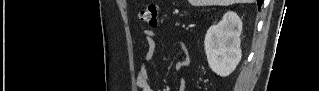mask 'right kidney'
I'll use <instances>...</instances> for the list:
<instances>
[{
	"label": "right kidney",
	"mask_w": 319,
	"mask_h": 91,
	"mask_svg": "<svg viewBox=\"0 0 319 91\" xmlns=\"http://www.w3.org/2000/svg\"><path fill=\"white\" fill-rule=\"evenodd\" d=\"M242 22L235 12L228 11L222 20L211 26L205 36L207 61L217 75H230L241 60L240 34Z\"/></svg>",
	"instance_id": "obj_1"
}]
</instances>
